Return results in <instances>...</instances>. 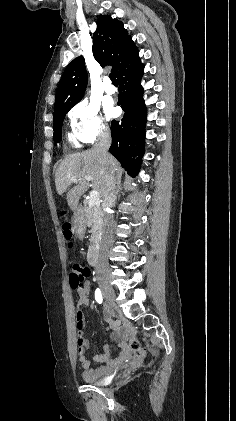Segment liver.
<instances>
[{"label": "liver", "mask_w": 236, "mask_h": 421, "mask_svg": "<svg viewBox=\"0 0 236 421\" xmlns=\"http://www.w3.org/2000/svg\"><path fill=\"white\" fill-rule=\"evenodd\" d=\"M117 168H119V162L114 156L108 154L106 160H103L96 148L67 154L56 168L55 184L57 192L58 194H63L68 186L74 184L67 192V202L71 211L77 213L79 198L90 186L89 180H85L84 176L91 174L92 188L98 190L100 196H104L106 186ZM72 176L77 178L75 182L70 180Z\"/></svg>", "instance_id": "obj_1"}]
</instances>
